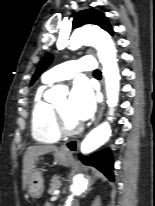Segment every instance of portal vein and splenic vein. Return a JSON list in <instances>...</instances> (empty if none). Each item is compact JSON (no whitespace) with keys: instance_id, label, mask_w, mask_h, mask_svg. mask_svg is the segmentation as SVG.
I'll return each instance as SVG.
<instances>
[{"instance_id":"portal-vein-and-splenic-vein-1","label":"portal vein and splenic vein","mask_w":155,"mask_h":206,"mask_svg":"<svg viewBox=\"0 0 155 206\" xmlns=\"http://www.w3.org/2000/svg\"><path fill=\"white\" fill-rule=\"evenodd\" d=\"M57 198H58V195L55 194V195L51 198V201H55V200H57Z\"/></svg>"}]
</instances>
